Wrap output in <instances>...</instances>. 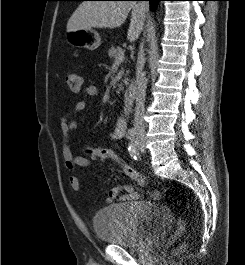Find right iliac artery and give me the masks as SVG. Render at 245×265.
Instances as JSON below:
<instances>
[{
	"mask_svg": "<svg viewBox=\"0 0 245 265\" xmlns=\"http://www.w3.org/2000/svg\"><path fill=\"white\" fill-rule=\"evenodd\" d=\"M135 135V132L132 130H129L128 133L126 134L127 139H132Z\"/></svg>",
	"mask_w": 245,
	"mask_h": 265,
	"instance_id": "obj_1",
	"label": "right iliac artery"
}]
</instances>
